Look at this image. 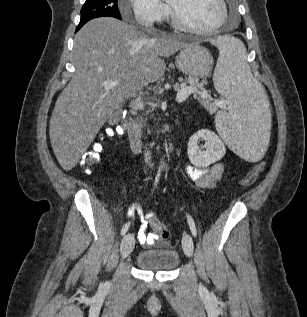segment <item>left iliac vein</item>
Instances as JSON below:
<instances>
[{
  "instance_id": "4c4485c4",
  "label": "left iliac vein",
  "mask_w": 307,
  "mask_h": 317,
  "mask_svg": "<svg viewBox=\"0 0 307 317\" xmlns=\"http://www.w3.org/2000/svg\"><path fill=\"white\" fill-rule=\"evenodd\" d=\"M182 246L185 254L188 257H191L193 254V249H194V243L193 239L189 234H185L182 239Z\"/></svg>"
}]
</instances>
